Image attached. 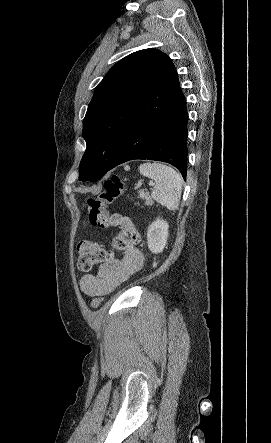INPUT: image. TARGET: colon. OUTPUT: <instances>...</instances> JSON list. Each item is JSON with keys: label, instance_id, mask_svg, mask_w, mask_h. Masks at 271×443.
<instances>
[{"label": "colon", "instance_id": "colon-1", "mask_svg": "<svg viewBox=\"0 0 271 443\" xmlns=\"http://www.w3.org/2000/svg\"><path fill=\"white\" fill-rule=\"evenodd\" d=\"M124 189L122 180L118 176H112L106 180L103 190L98 195L87 200L88 218L92 226L99 228L114 226L119 229L112 241L113 249L119 252L127 251L139 242V234L133 220L119 213L111 214L108 210L109 206L122 196ZM77 251V264L81 271H90L110 256L103 246L89 240L80 241ZM102 300V297H95L91 301V307L98 308Z\"/></svg>", "mask_w": 271, "mask_h": 443}]
</instances>
